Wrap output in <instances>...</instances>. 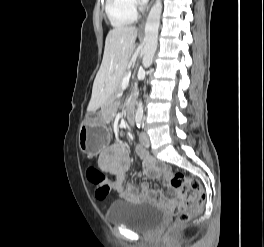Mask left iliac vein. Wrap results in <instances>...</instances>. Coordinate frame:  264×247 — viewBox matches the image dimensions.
<instances>
[{
    "label": "left iliac vein",
    "mask_w": 264,
    "mask_h": 247,
    "mask_svg": "<svg viewBox=\"0 0 264 247\" xmlns=\"http://www.w3.org/2000/svg\"><path fill=\"white\" fill-rule=\"evenodd\" d=\"M140 142L144 147L150 146L149 136L145 131H141L140 133Z\"/></svg>",
    "instance_id": "4c4485c4"
}]
</instances>
